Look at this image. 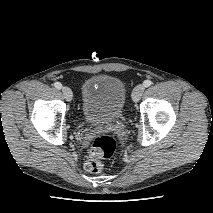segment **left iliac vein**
I'll use <instances>...</instances> for the list:
<instances>
[{
    "instance_id": "obj_1",
    "label": "left iliac vein",
    "mask_w": 213,
    "mask_h": 213,
    "mask_svg": "<svg viewBox=\"0 0 213 213\" xmlns=\"http://www.w3.org/2000/svg\"><path fill=\"white\" fill-rule=\"evenodd\" d=\"M144 85L140 84V85H137L134 89H133V92H132V99L134 102H138L140 100V98L142 97L143 95V92H144Z\"/></svg>"
}]
</instances>
